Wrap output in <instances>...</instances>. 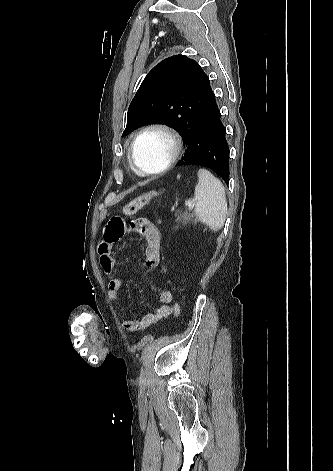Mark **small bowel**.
Returning <instances> with one entry per match:
<instances>
[{
    "label": "small bowel",
    "mask_w": 333,
    "mask_h": 471,
    "mask_svg": "<svg viewBox=\"0 0 333 471\" xmlns=\"http://www.w3.org/2000/svg\"><path fill=\"white\" fill-rule=\"evenodd\" d=\"M128 231L137 232L145 243L144 256L145 265L155 268L160 262L161 235L157 227L146 218L134 220L128 228L121 216L114 215L106 223L103 231V239L99 242L98 253L100 265L106 274H111L115 270L116 260L114 257V246ZM123 285L120 277H114L108 284V297L112 304L120 302L119 291ZM160 305L152 312L147 313L139 320L126 319L123 327L129 334L150 327L171 315L173 309L171 303L173 294L169 290H162L158 294Z\"/></svg>",
    "instance_id": "c3829d8e"
}]
</instances>
